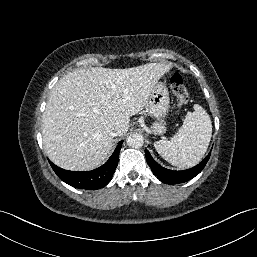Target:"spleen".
I'll return each mask as SVG.
<instances>
[{"instance_id": "1", "label": "spleen", "mask_w": 257, "mask_h": 257, "mask_svg": "<svg viewBox=\"0 0 257 257\" xmlns=\"http://www.w3.org/2000/svg\"><path fill=\"white\" fill-rule=\"evenodd\" d=\"M194 110L187 113L183 125L171 139L154 143L157 152L179 168H189L199 163L211 140L210 116L198 104L194 105Z\"/></svg>"}]
</instances>
